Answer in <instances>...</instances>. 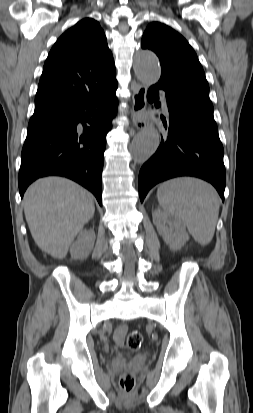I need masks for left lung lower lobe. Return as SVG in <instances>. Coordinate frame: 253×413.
Segmentation results:
<instances>
[{
    "mask_svg": "<svg viewBox=\"0 0 253 413\" xmlns=\"http://www.w3.org/2000/svg\"><path fill=\"white\" fill-rule=\"evenodd\" d=\"M165 92L169 120L161 116L165 131L156 153L142 166L139 179L141 202L157 183L178 176L202 178L217 189L224 201L226 172L223 146L213 117L212 103L178 89L156 84L147 99L158 100V90ZM156 103L155 107H160Z\"/></svg>",
    "mask_w": 253,
    "mask_h": 413,
    "instance_id": "obj_1",
    "label": "left lung lower lobe"
}]
</instances>
